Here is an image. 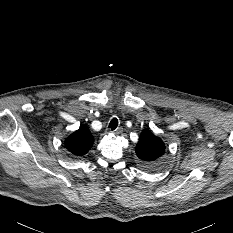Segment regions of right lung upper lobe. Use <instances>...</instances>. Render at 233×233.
Listing matches in <instances>:
<instances>
[{
    "instance_id": "obj_1",
    "label": "right lung upper lobe",
    "mask_w": 233,
    "mask_h": 233,
    "mask_svg": "<svg viewBox=\"0 0 233 233\" xmlns=\"http://www.w3.org/2000/svg\"><path fill=\"white\" fill-rule=\"evenodd\" d=\"M94 141L93 135L86 126L80 127L65 140L66 149L76 155H85L92 147Z\"/></svg>"
}]
</instances>
